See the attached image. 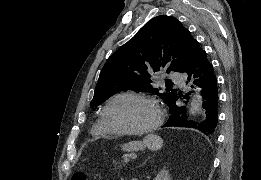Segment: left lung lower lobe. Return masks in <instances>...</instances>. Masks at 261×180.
<instances>
[{"label":"left lung lower lobe","instance_id":"left-lung-lower-lobe-1","mask_svg":"<svg viewBox=\"0 0 261 180\" xmlns=\"http://www.w3.org/2000/svg\"><path fill=\"white\" fill-rule=\"evenodd\" d=\"M181 73L186 75L188 82L201 87L202 107L205 110V118L201 122L186 120L185 106H178L176 102L179 99L178 95L186 99L184 101L186 104L189 97L188 94L182 95L179 92L178 94L176 93L168 104L169 112L172 116L164 124V127H189L197 129L205 135L213 134L218 123L219 95L217 79L213 66L207 59L206 52L198 44L194 47L192 55ZM191 87L194 88V86Z\"/></svg>","mask_w":261,"mask_h":180}]
</instances>
